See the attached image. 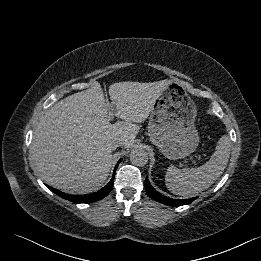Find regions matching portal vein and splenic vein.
Instances as JSON below:
<instances>
[{"instance_id":"18ae733b","label":"portal vein and splenic vein","mask_w":261,"mask_h":261,"mask_svg":"<svg viewBox=\"0 0 261 261\" xmlns=\"http://www.w3.org/2000/svg\"><path fill=\"white\" fill-rule=\"evenodd\" d=\"M110 113L108 114V120L111 121L114 118V113H113V109L110 108Z\"/></svg>"}]
</instances>
